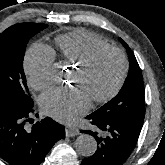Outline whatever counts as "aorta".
Segmentation results:
<instances>
[{
	"instance_id": "762f6f07",
	"label": "aorta",
	"mask_w": 165,
	"mask_h": 165,
	"mask_svg": "<svg viewBox=\"0 0 165 165\" xmlns=\"http://www.w3.org/2000/svg\"><path fill=\"white\" fill-rule=\"evenodd\" d=\"M75 148L77 153L82 156H92L96 152L97 142L93 136L81 134L75 140Z\"/></svg>"
}]
</instances>
